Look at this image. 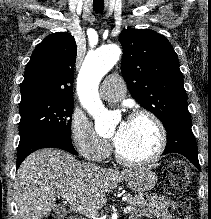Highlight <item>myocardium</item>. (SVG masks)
I'll list each match as a JSON object with an SVG mask.
<instances>
[{
  "instance_id": "obj_1",
  "label": "myocardium",
  "mask_w": 211,
  "mask_h": 219,
  "mask_svg": "<svg viewBox=\"0 0 211 219\" xmlns=\"http://www.w3.org/2000/svg\"><path fill=\"white\" fill-rule=\"evenodd\" d=\"M139 118H147L149 119L155 126L157 133H158V141L157 146L154 152L146 158L143 159H129L121 154L118 150L117 146L114 148V154L116 160L126 166L138 167V166H145L157 161L161 155L163 154L166 145H167V132L163 122L160 118L149 110H137L133 112L129 116V120H136Z\"/></svg>"
}]
</instances>
